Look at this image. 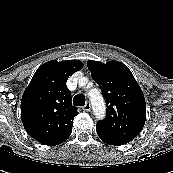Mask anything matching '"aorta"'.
I'll list each match as a JSON object with an SVG mask.
<instances>
[{
  "label": "aorta",
  "instance_id": "obj_1",
  "mask_svg": "<svg viewBox=\"0 0 173 173\" xmlns=\"http://www.w3.org/2000/svg\"><path fill=\"white\" fill-rule=\"evenodd\" d=\"M94 113L98 119L105 116V104L100 92L96 89L89 92Z\"/></svg>",
  "mask_w": 173,
  "mask_h": 173
}]
</instances>
